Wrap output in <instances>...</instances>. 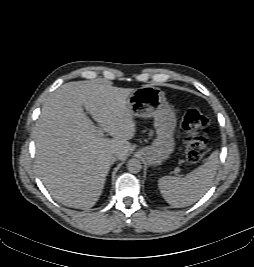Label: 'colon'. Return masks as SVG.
<instances>
[{"label":"colon","mask_w":254,"mask_h":267,"mask_svg":"<svg viewBox=\"0 0 254 267\" xmlns=\"http://www.w3.org/2000/svg\"><path fill=\"white\" fill-rule=\"evenodd\" d=\"M182 128L187 135L186 158L191 163L201 161L207 152L206 135L210 129L209 119L195 106L184 110Z\"/></svg>","instance_id":"obj_1"}]
</instances>
